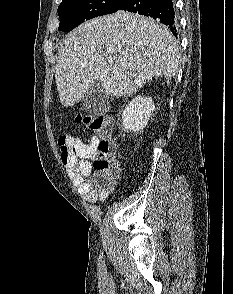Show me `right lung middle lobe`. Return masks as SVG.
<instances>
[{
    "mask_svg": "<svg viewBox=\"0 0 233 294\" xmlns=\"http://www.w3.org/2000/svg\"><path fill=\"white\" fill-rule=\"evenodd\" d=\"M125 0H62L58 7L59 31L69 32L86 20L111 14L120 8Z\"/></svg>",
    "mask_w": 233,
    "mask_h": 294,
    "instance_id": "1",
    "label": "right lung middle lobe"
}]
</instances>
